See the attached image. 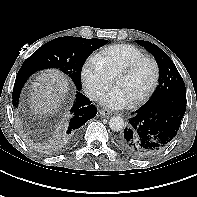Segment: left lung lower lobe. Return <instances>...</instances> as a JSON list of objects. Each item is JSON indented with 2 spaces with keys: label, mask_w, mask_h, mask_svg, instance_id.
Listing matches in <instances>:
<instances>
[{
  "label": "left lung lower lobe",
  "mask_w": 197,
  "mask_h": 197,
  "mask_svg": "<svg viewBox=\"0 0 197 197\" xmlns=\"http://www.w3.org/2000/svg\"><path fill=\"white\" fill-rule=\"evenodd\" d=\"M185 111L186 92L171 93L140 107L118 135L119 147L135 158L154 156L176 136Z\"/></svg>",
  "instance_id": "left-lung-lower-lobe-1"
}]
</instances>
